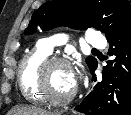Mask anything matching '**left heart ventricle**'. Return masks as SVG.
<instances>
[{"mask_svg": "<svg viewBox=\"0 0 131 115\" xmlns=\"http://www.w3.org/2000/svg\"><path fill=\"white\" fill-rule=\"evenodd\" d=\"M47 87L49 93L56 98L69 95L74 89L71 70L64 65H54L47 73Z\"/></svg>", "mask_w": 131, "mask_h": 115, "instance_id": "left-heart-ventricle-1", "label": "left heart ventricle"}]
</instances>
